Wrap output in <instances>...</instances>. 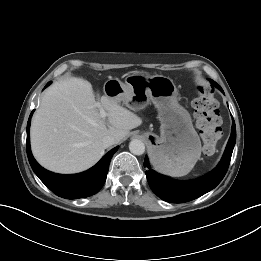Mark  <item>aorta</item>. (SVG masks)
Masks as SVG:
<instances>
[{
	"instance_id": "aorta-1",
	"label": "aorta",
	"mask_w": 261,
	"mask_h": 261,
	"mask_svg": "<svg viewBox=\"0 0 261 261\" xmlns=\"http://www.w3.org/2000/svg\"><path fill=\"white\" fill-rule=\"evenodd\" d=\"M129 150L134 155H142L145 152V144L138 139H133L129 143Z\"/></svg>"
}]
</instances>
